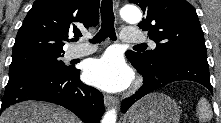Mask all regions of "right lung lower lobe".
<instances>
[{"instance_id":"98d812e1","label":"right lung lower lobe","mask_w":221,"mask_h":123,"mask_svg":"<svg viewBox=\"0 0 221 123\" xmlns=\"http://www.w3.org/2000/svg\"><path fill=\"white\" fill-rule=\"evenodd\" d=\"M80 70L31 68L9 74L1 110L25 100H40L61 105L84 123H99L104 113L103 95L83 84ZM1 112V111H0Z\"/></svg>"}]
</instances>
